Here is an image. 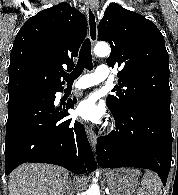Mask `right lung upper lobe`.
Listing matches in <instances>:
<instances>
[{"mask_svg": "<svg viewBox=\"0 0 178 195\" xmlns=\"http://www.w3.org/2000/svg\"><path fill=\"white\" fill-rule=\"evenodd\" d=\"M86 33L85 16L66 2L28 19L11 50L9 97L62 88L63 66L74 67L73 58Z\"/></svg>", "mask_w": 178, "mask_h": 195, "instance_id": "1", "label": "right lung upper lobe"}]
</instances>
